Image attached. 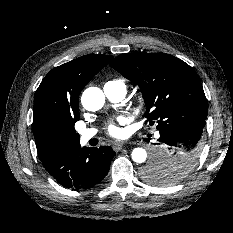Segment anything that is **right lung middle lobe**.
<instances>
[{
    "label": "right lung middle lobe",
    "mask_w": 233,
    "mask_h": 233,
    "mask_svg": "<svg viewBox=\"0 0 233 233\" xmlns=\"http://www.w3.org/2000/svg\"><path fill=\"white\" fill-rule=\"evenodd\" d=\"M75 122L73 121L65 127L55 128L46 136L47 152H56L79 144L80 137L75 132Z\"/></svg>",
    "instance_id": "obj_1"
}]
</instances>
